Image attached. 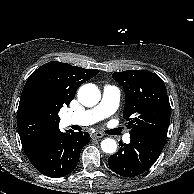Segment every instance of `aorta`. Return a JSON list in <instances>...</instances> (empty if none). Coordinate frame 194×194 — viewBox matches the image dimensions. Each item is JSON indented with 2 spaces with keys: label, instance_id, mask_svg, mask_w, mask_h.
Instances as JSON below:
<instances>
[{
  "label": "aorta",
  "instance_id": "obj_1",
  "mask_svg": "<svg viewBox=\"0 0 194 194\" xmlns=\"http://www.w3.org/2000/svg\"><path fill=\"white\" fill-rule=\"evenodd\" d=\"M100 98V91L94 84H85L78 90V100L84 106H95ZM101 148L105 153H115L117 150V142L112 138H105L101 142Z\"/></svg>",
  "mask_w": 194,
  "mask_h": 194
}]
</instances>
